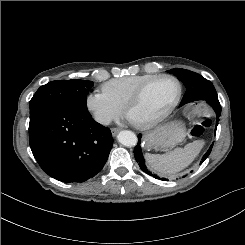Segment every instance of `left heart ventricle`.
<instances>
[{"label":"left heart ventricle","mask_w":245,"mask_h":245,"mask_svg":"<svg viewBox=\"0 0 245 245\" xmlns=\"http://www.w3.org/2000/svg\"><path fill=\"white\" fill-rule=\"evenodd\" d=\"M178 92V85L170 79L152 83L140 102L130 111L129 117L136 124L149 122L168 110Z\"/></svg>","instance_id":"b2bd125f"}]
</instances>
